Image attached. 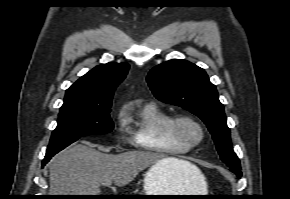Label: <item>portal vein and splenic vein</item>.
<instances>
[{
    "instance_id": "obj_1",
    "label": "portal vein and splenic vein",
    "mask_w": 290,
    "mask_h": 199,
    "mask_svg": "<svg viewBox=\"0 0 290 199\" xmlns=\"http://www.w3.org/2000/svg\"><path fill=\"white\" fill-rule=\"evenodd\" d=\"M110 184H111V181H107V182L104 183V185H106V186H108Z\"/></svg>"
}]
</instances>
